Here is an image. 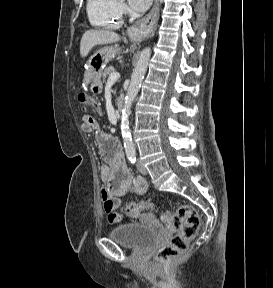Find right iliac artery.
<instances>
[{
  "label": "right iliac artery",
  "mask_w": 273,
  "mask_h": 288,
  "mask_svg": "<svg viewBox=\"0 0 273 288\" xmlns=\"http://www.w3.org/2000/svg\"><path fill=\"white\" fill-rule=\"evenodd\" d=\"M127 158L129 159V161L134 164L136 162V155L135 154H128Z\"/></svg>",
  "instance_id": "obj_1"
}]
</instances>
